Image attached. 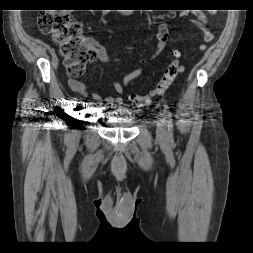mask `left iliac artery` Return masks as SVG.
<instances>
[{
	"label": "left iliac artery",
	"mask_w": 253,
	"mask_h": 253,
	"mask_svg": "<svg viewBox=\"0 0 253 253\" xmlns=\"http://www.w3.org/2000/svg\"><path fill=\"white\" fill-rule=\"evenodd\" d=\"M164 115H165V122L167 124V128H168V140L170 143H173L174 142V139H173V120H172V115H171V112L168 108V106L165 104L164 105Z\"/></svg>",
	"instance_id": "left-iliac-artery-1"
}]
</instances>
